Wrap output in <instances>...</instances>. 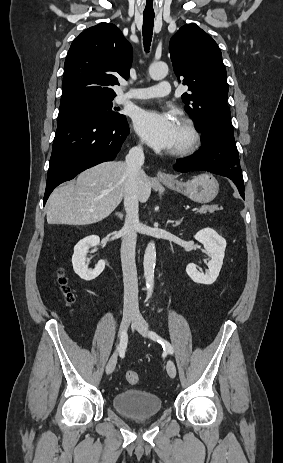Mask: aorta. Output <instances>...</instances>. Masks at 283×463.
Returning <instances> with one entry per match:
<instances>
[{"label": "aorta", "instance_id": "obj_1", "mask_svg": "<svg viewBox=\"0 0 283 463\" xmlns=\"http://www.w3.org/2000/svg\"><path fill=\"white\" fill-rule=\"evenodd\" d=\"M168 74V66L164 62L152 63L149 67V75L153 80H162ZM156 264V247L153 241L149 242L144 254V276L147 295L150 297L154 288V269Z\"/></svg>", "mask_w": 283, "mask_h": 463}]
</instances>
